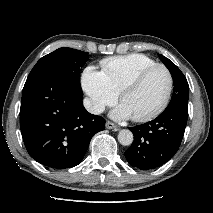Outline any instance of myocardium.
<instances>
[{
    "label": "myocardium",
    "mask_w": 213,
    "mask_h": 213,
    "mask_svg": "<svg viewBox=\"0 0 213 213\" xmlns=\"http://www.w3.org/2000/svg\"><path fill=\"white\" fill-rule=\"evenodd\" d=\"M157 69H162L166 72L167 76H168V87H167V91L166 94L164 96V98L162 99V101L154 108L152 109L150 112L141 115V116H136V117H131V119L135 122H146L152 118H154L155 116H157L168 104L172 91H173V86H174V78H173V74L170 71V69L168 67H166L165 65L162 64H155L153 66L147 67L143 70H141L140 72H138L134 77H132L119 91L118 93V99L120 102H122L123 97L132 89H134L135 87H137L141 81L152 71H155Z\"/></svg>",
    "instance_id": "obj_1"
}]
</instances>
